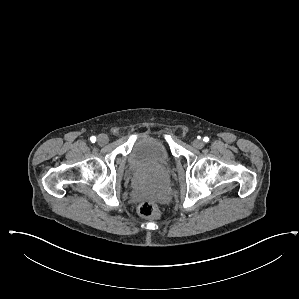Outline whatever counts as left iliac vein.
Instances as JSON below:
<instances>
[{
    "label": "left iliac vein",
    "mask_w": 299,
    "mask_h": 299,
    "mask_svg": "<svg viewBox=\"0 0 299 299\" xmlns=\"http://www.w3.org/2000/svg\"><path fill=\"white\" fill-rule=\"evenodd\" d=\"M192 145L194 148L196 149H202L204 147V142L202 140H199V139H195L193 142H192Z\"/></svg>",
    "instance_id": "left-iliac-vein-1"
}]
</instances>
